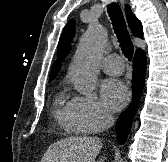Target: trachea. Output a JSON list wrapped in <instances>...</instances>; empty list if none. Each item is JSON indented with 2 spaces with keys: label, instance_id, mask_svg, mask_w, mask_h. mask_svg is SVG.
Here are the masks:
<instances>
[{
  "label": "trachea",
  "instance_id": "obj_1",
  "mask_svg": "<svg viewBox=\"0 0 168 162\" xmlns=\"http://www.w3.org/2000/svg\"><path fill=\"white\" fill-rule=\"evenodd\" d=\"M107 9L112 20L114 31L118 37L121 50L124 56L130 61L133 56L134 47L126 27L123 13L116 3H111L107 6Z\"/></svg>",
  "mask_w": 168,
  "mask_h": 162
}]
</instances>
